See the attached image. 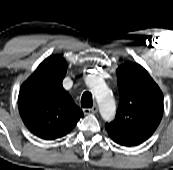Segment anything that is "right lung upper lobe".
I'll return each mask as SVG.
<instances>
[{
	"label": "right lung upper lobe",
	"instance_id": "right-lung-upper-lobe-1",
	"mask_svg": "<svg viewBox=\"0 0 173 170\" xmlns=\"http://www.w3.org/2000/svg\"><path fill=\"white\" fill-rule=\"evenodd\" d=\"M66 61L57 55L45 59L22 84L18 107L26 127L36 136L54 140L71 131L83 116L62 86Z\"/></svg>",
	"mask_w": 173,
	"mask_h": 170
}]
</instances>
